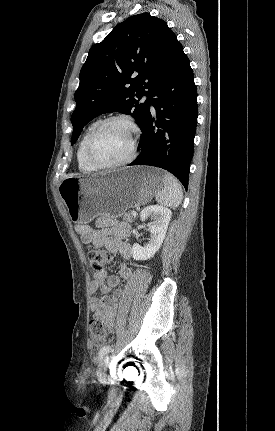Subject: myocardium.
Returning <instances> with one entry per match:
<instances>
[{
  "instance_id": "myocardium-1",
  "label": "myocardium",
  "mask_w": 275,
  "mask_h": 431,
  "mask_svg": "<svg viewBox=\"0 0 275 431\" xmlns=\"http://www.w3.org/2000/svg\"><path fill=\"white\" fill-rule=\"evenodd\" d=\"M112 122H122L128 126V128L131 131V139H132L131 150L129 155L122 161H119L117 163H110V164L99 163L95 161L91 155V145L94 138L99 133V131L104 126ZM138 137H139L138 128L129 117L124 115H114V116L106 117L98 121L89 132L84 144L85 159L88 162V164L91 165L94 169H99V170L117 169V168L126 166L130 164L136 157L137 149H138Z\"/></svg>"
}]
</instances>
